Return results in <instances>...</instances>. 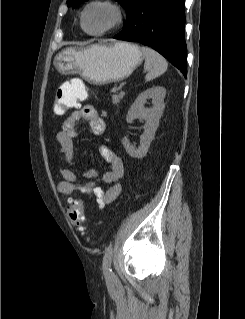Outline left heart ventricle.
Segmentation results:
<instances>
[{
    "label": "left heart ventricle",
    "instance_id": "1",
    "mask_svg": "<svg viewBox=\"0 0 245 319\" xmlns=\"http://www.w3.org/2000/svg\"><path fill=\"white\" fill-rule=\"evenodd\" d=\"M113 12L106 7L91 8L85 18V26L89 31H99L106 28L113 21Z\"/></svg>",
    "mask_w": 245,
    "mask_h": 319
}]
</instances>
